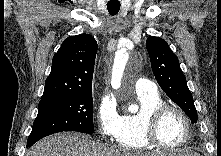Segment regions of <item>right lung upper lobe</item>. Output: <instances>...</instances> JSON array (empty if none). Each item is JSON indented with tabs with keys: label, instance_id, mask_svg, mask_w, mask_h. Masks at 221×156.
Listing matches in <instances>:
<instances>
[{
	"label": "right lung upper lobe",
	"instance_id": "obj_1",
	"mask_svg": "<svg viewBox=\"0 0 221 156\" xmlns=\"http://www.w3.org/2000/svg\"><path fill=\"white\" fill-rule=\"evenodd\" d=\"M97 41L89 34L68 37L53 56L42 98L92 90Z\"/></svg>",
	"mask_w": 221,
	"mask_h": 156
}]
</instances>
